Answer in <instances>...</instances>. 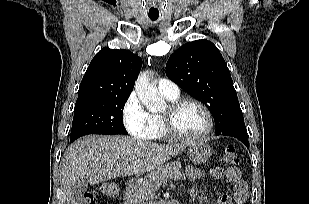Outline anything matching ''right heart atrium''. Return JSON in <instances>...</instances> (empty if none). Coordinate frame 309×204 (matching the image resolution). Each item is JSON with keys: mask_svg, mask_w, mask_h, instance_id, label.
Listing matches in <instances>:
<instances>
[{"mask_svg": "<svg viewBox=\"0 0 309 204\" xmlns=\"http://www.w3.org/2000/svg\"><path fill=\"white\" fill-rule=\"evenodd\" d=\"M122 120L126 130L133 137L151 139L153 126L149 114L135 92H132L123 104Z\"/></svg>", "mask_w": 309, "mask_h": 204, "instance_id": "right-heart-atrium-1", "label": "right heart atrium"}]
</instances>
